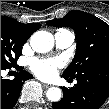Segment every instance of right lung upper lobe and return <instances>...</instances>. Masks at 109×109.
<instances>
[{"instance_id":"cb5924a9","label":"right lung upper lobe","mask_w":109,"mask_h":109,"mask_svg":"<svg viewBox=\"0 0 109 109\" xmlns=\"http://www.w3.org/2000/svg\"><path fill=\"white\" fill-rule=\"evenodd\" d=\"M40 27L41 25L39 23L23 24L13 18L1 16V29L11 31L25 41Z\"/></svg>"}]
</instances>
